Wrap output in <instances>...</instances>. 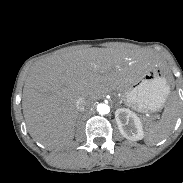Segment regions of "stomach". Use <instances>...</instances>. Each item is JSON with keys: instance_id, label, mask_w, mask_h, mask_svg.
<instances>
[{"instance_id": "obj_1", "label": "stomach", "mask_w": 183, "mask_h": 183, "mask_svg": "<svg viewBox=\"0 0 183 183\" xmlns=\"http://www.w3.org/2000/svg\"><path fill=\"white\" fill-rule=\"evenodd\" d=\"M169 90L167 78L157 68L150 66L126 85L123 99L128 106L140 112L158 111L166 103Z\"/></svg>"}]
</instances>
